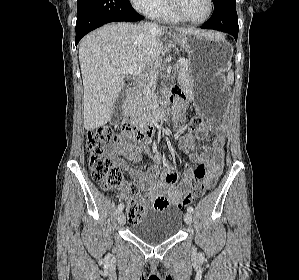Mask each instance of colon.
I'll return each mask as SVG.
<instances>
[{
    "instance_id": "1",
    "label": "colon",
    "mask_w": 299,
    "mask_h": 280,
    "mask_svg": "<svg viewBox=\"0 0 299 280\" xmlns=\"http://www.w3.org/2000/svg\"><path fill=\"white\" fill-rule=\"evenodd\" d=\"M201 117H193L187 128V135L193 136L194 133H202ZM120 140L119 134L112 127H99L90 130L87 134V149L89 152V167L92 178L105 191L117 189L124 185L121 177L120 165L105 150ZM206 166L203 163L194 167L195 183L193 192L187 195L177 207L184 210L186 206L195 199L204 195L205 191L212 187V182L206 181ZM126 190L130 194L127 201V218L130 223L139 221L146 212V206L142 200L136 198V187L132 183L125 184Z\"/></svg>"
}]
</instances>
